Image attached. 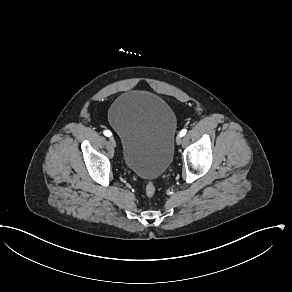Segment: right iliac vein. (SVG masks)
<instances>
[{
    "label": "right iliac vein",
    "instance_id": "obj_1",
    "mask_svg": "<svg viewBox=\"0 0 292 292\" xmlns=\"http://www.w3.org/2000/svg\"><path fill=\"white\" fill-rule=\"evenodd\" d=\"M109 141H110V144H111L113 147L116 146V142H115V140H114L113 137H111V138L109 139Z\"/></svg>",
    "mask_w": 292,
    "mask_h": 292
}]
</instances>
